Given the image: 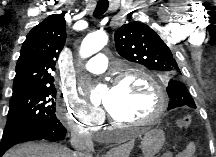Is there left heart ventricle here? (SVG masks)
I'll return each instance as SVG.
<instances>
[{
	"label": "left heart ventricle",
	"mask_w": 216,
	"mask_h": 157,
	"mask_svg": "<svg viewBox=\"0 0 216 157\" xmlns=\"http://www.w3.org/2000/svg\"><path fill=\"white\" fill-rule=\"evenodd\" d=\"M107 109L118 120L134 122L146 119L154 111L157 98L147 82L129 77L103 95Z\"/></svg>",
	"instance_id": "left-heart-ventricle-1"
}]
</instances>
